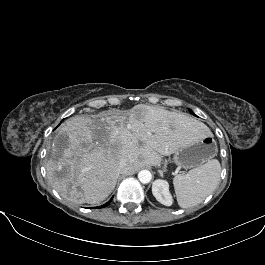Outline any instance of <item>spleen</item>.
<instances>
[{"label":"spleen","instance_id":"obj_1","mask_svg":"<svg viewBox=\"0 0 265 265\" xmlns=\"http://www.w3.org/2000/svg\"><path fill=\"white\" fill-rule=\"evenodd\" d=\"M221 166L217 159L196 167L187 174H178L173 185L178 205L190 208L201 203L219 184Z\"/></svg>","mask_w":265,"mask_h":265}]
</instances>
